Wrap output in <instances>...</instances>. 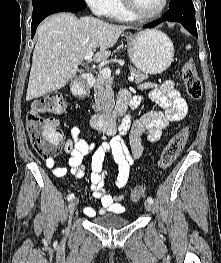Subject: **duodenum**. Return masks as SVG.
Listing matches in <instances>:
<instances>
[{"instance_id":"duodenum-1","label":"duodenum","mask_w":221,"mask_h":263,"mask_svg":"<svg viewBox=\"0 0 221 263\" xmlns=\"http://www.w3.org/2000/svg\"><path fill=\"white\" fill-rule=\"evenodd\" d=\"M95 76L92 73H85L80 84L73 88V92L79 95L86 88L93 85ZM138 103L133 100L130 102L129 94L123 92L119 95L116 113L113 116L95 115L92 118V125L95 129L102 131L107 134H114L117 129H124L130 125V115L128 114L129 109L136 108ZM121 118V122H119Z\"/></svg>"}]
</instances>
